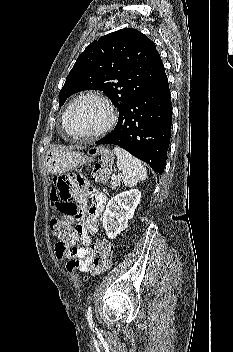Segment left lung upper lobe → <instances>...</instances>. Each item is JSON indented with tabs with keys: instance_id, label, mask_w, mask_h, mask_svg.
Returning a JSON list of instances; mask_svg holds the SVG:
<instances>
[{
	"instance_id": "5c2ea615",
	"label": "left lung upper lobe",
	"mask_w": 233,
	"mask_h": 352,
	"mask_svg": "<svg viewBox=\"0 0 233 352\" xmlns=\"http://www.w3.org/2000/svg\"><path fill=\"white\" fill-rule=\"evenodd\" d=\"M164 73L154 42L136 29H121L93 41L79 55L59 92V103L95 89L103 91L120 113Z\"/></svg>"
}]
</instances>
